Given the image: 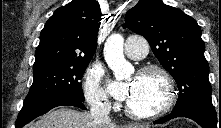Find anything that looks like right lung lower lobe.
<instances>
[{"label":"right lung lower lobe","instance_id":"obj_1","mask_svg":"<svg viewBox=\"0 0 221 128\" xmlns=\"http://www.w3.org/2000/svg\"><path fill=\"white\" fill-rule=\"evenodd\" d=\"M69 96H52L33 103L23 104V107L18 115L15 128H22L24 125L35 119L36 117L45 114L49 110L57 106H75L81 109H86L82 103Z\"/></svg>","mask_w":221,"mask_h":128}]
</instances>
